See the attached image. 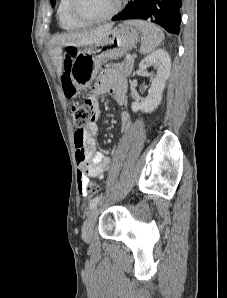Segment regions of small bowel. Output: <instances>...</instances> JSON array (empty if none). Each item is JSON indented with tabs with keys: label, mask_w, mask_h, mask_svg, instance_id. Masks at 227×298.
Masks as SVG:
<instances>
[{
	"label": "small bowel",
	"mask_w": 227,
	"mask_h": 298,
	"mask_svg": "<svg viewBox=\"0 0 227 298\" xmlns=\"http://www.w3.org/2000/svg\"><path fill=\"white\" fill-rule=\"evenodd\" d=\"M92 91L91 98H83V103H93L86 105L88 115H96V117H90V122L92 123L84 131L85 159L80 160L76 155L78 173H86V178H79V182H88L90 178L102 179L104 174L110 168L111 158L108 155L96 151V136L99 131L97 121L101 113L99 97L103 94L109 93L116 105L121 107L125 103L127 83L122 75L114 69L107 67L99 76L97 82L92 88ZM121 121V130L122 132H126L131 125V119L128 113H121ZM81 194L84 196L87 195L83 192H81Z\"/></svg>",
	"instance_id": "c3829d8e"
}]
</instances>
